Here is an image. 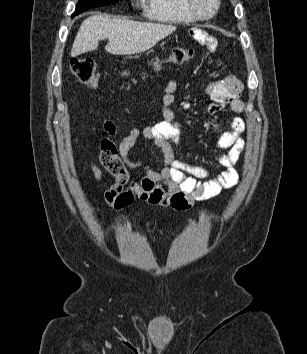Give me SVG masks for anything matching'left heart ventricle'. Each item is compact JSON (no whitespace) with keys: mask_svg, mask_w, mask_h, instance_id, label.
I'll return each instance as SVG.
<instances>
[{"mask_svg":"<svg viewBox=\"0 0 307 354\" xmlns=\"http://www.w3.org/2000/svg\"><path fill=\"white\" fill-rule=\"evenodd\" d=\"M198 10L203 14H208L214 7V0H195Z\"/></svg>","mask_w":307,"mask_h":354,"instance_id":"b2bd125f","label":"left heart ventricle"}]
</instances>
